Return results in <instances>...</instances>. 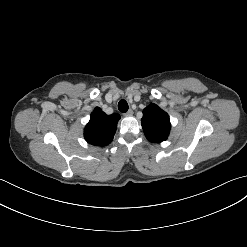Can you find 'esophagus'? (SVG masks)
Listing matches in <instances>:
<instances>
[{
  "mask_svg": "<svg viewBox=\"0 0 247 247\" xmlns=\"http://www.w3.org/2000/svg\"><path fill=\"white\" fill-rule=\"evenodd\" d=\"M133 114L132 109H129L126 113H124V116H131Z\"/></svg>",
  "mask_w": 247,
  "mask_h": 247,
  "instance_id": "esophagus-1",
  "label": "esophagus"
}]
</instances>
